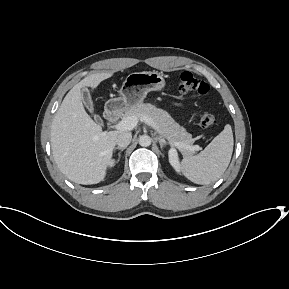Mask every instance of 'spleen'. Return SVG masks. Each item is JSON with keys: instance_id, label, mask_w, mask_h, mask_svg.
Here are the masks:
<instances>
[{"instance_id": "obj_1", "label": "spleen", "mask_w": 289, "mask_h": 289, "mask_svg": "<svg viewBox=\"0 0 289 289\" xmlns=\"http://www.w3.org/2000/svg\"><path fill=\"white\" fill-rule=\"evenodd\" d=\"M233 133L229 124L198 155L183 159L181 169L190 181L207 185L217 181L227 169L233 152Z\"/></svg>"}]
</instances>
